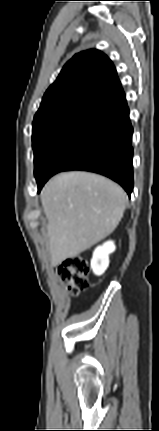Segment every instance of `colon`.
Here are the masks:
<instances>
[{
    "label": "colon",
    "instance_id": "1",
    "mask_svg": "<svg viewBox=\"0 0 159 431\" xmlns=\"http://www.w3.org/2000/svg\"><path fill=\"white\" fill-rule=\"evenodd\" d=\"M90 265L81 255L66 258L58 267V274L73 296L89 287Z\"/></svg>",
    "mask_w": 159,
    "mask_h": 431
}]
</instances>
